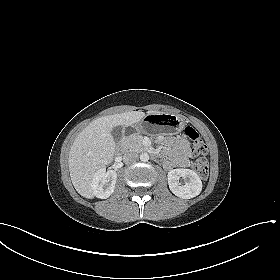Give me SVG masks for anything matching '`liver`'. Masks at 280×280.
I'll return each instance as SVG.
<instances>
[{
    "instance_id": "liver-1",
    "label": "liver",
    "mask_w": 280,
    "mask_h": 280,
    "mask_svg": "<svg viewBox=\"0 0 280 280\" xmlns=\"http://www.w3.org/2000/svg\"><path fill=\"white\" fill-rule=\"evenodd\" d=\"M159 113L148 111L147 115ZM144 117L145 113L141 111L104 116L92 121L79 133L70 148L68 165L72 184L81 196L87 199L94 197L93 176L113 161L116 143L112 129L115 126H133Z\"/></svg>"
}]
</instances>
